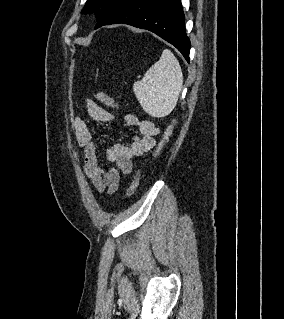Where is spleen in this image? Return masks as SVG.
Here are the masks:
<instances>
[{
	"instance_id": "spleen-1",
	"label": "spleen",
	"mask_w": 284,
	"mask_h": 319,
	"mask_svg": "<svg viewBox=\"0 0 284 319\" xmlns=\"http://www.w3.org/2000/svg\"><path fill=\"white\" fill-rule=\"evenodd\" d=\"M183 84L180 64L173 53L165 49L133 90L140 105L153 117H165L175 108Z\"/></svg>"
}]
</instances>
